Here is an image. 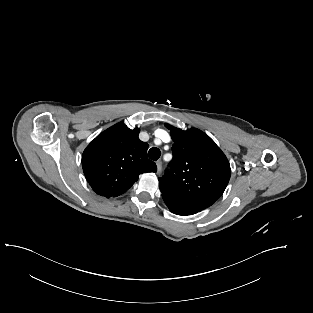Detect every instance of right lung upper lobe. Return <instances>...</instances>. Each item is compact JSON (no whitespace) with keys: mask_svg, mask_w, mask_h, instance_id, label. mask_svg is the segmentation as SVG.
<instances>
[{"mask_svg":"<svg viewBox=\"0 0 313 313\" xmlns=\"http://www.w3.org/2000/svg\"><path fill=\"white\" fill-rule=\"evenodd\" d=\"M139 128L117 123L99 134L84 150L82 167L92 189L110 198L127 191L146 172H156L147 158L148 144L142 142Z\"/></svg>","mask_w":313,"mask_h":313,"instance_id":"obj_1","label":"right lung upper lobe"}]
</instances>
